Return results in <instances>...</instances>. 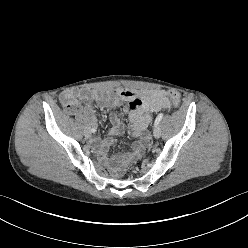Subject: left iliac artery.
<instances>
[{"label":"left iliac artery","mask_w":248,"mask_h":248,"mask_svg":"<svg viewBox=\"0 0 248 248\" xmlns=\"http://www.w3.org/2000/svg\"><path fill=\"white\" fill-rule=\"evenodd\" d=\"M163 113H160L158 116H157V118H156V120H155V126L156 125H158L159 123H160V121L162 120V118H163Z\"/></svg>","instance_id":"1"}]
</instances>
